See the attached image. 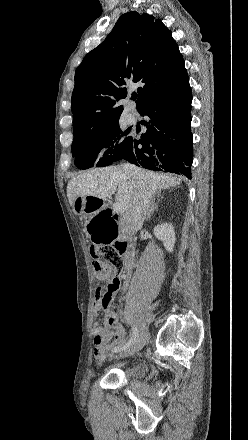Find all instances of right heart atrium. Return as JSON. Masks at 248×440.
Wrapping results in <instances>:
<instances>
[{
  "mask_svg": "<svg viewBox=\"0 0 248 440\" xmlns=\"http://www.w3.org/2000/svg\"><path fill=\"white\" fill-rule=\"evenodd\" d=\"M106 151V148L101 149L100 154H103Z\"/></svg>",
  "mask_w": 248,
  "mask_h": 440,
  "instance_id": "1",
  "label": "right heart atrium"
}]
</instances>
